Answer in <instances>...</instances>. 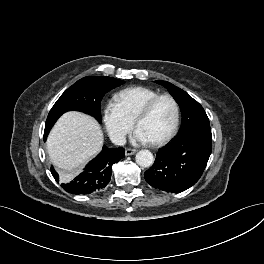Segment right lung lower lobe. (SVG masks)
I'll return each instance as SVG.
<instances>
[{
    "label": "right lung lower lobe",
    "mask_w": 264,
    "mask_h": 264,
    "mask_svg": "<svg viewBox=\"0 0 264 264\" xmlns=\"http://www.w3.org/2000/svg\"><path fill=\"white\" fill-rule=\"evenodd\" d=\"M47 135L44 133V141ZM123 157H125L124 148L110 149L103 146L102 151L86 165L80 175L75 177L71 182L62 183L61 186L71 194H89L100 190L109 183L113 164ZM51 173L58 182L59 176L53 167H51Z\"/></svg>",
    "instance_id": "98d812e1"
}]
</instances>
